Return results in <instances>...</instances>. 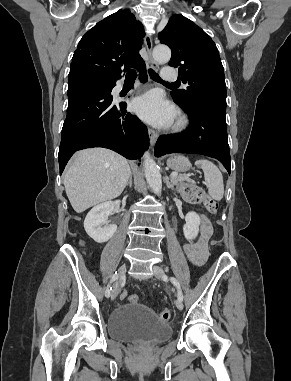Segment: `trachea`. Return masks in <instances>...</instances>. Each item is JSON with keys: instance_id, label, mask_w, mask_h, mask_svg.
I'll list each match as a JSON object with an SVG mask.
<instances>
[{"instance_id": "1", "label": "trachea", "mask_w": 291, "mask_h": 381, "mask_svg": "<svg viewBox=\"0 0 291 381\" xmlns=\"http://www.w3.org/2000/svg\"><path fill=\"white\" fill-rule=\"evenodd\" d=\"M149 75H150V78L156 82H160V83H164V84H175V83H168V82L163 81L160 78V76L153 69H149ZM126 77L136 78L137 77L136 71L135 70H128Z\"/></svg>"}]
</instances>
